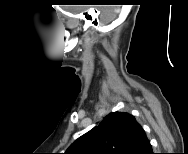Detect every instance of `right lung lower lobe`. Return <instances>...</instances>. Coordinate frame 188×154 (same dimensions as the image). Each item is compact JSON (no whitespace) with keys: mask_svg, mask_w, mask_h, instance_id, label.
<instances>
[{"mask_svg":"<svg viewBox=\"0 0 188 154\" xmlns=\"http://www.w3.org/2000/svg\"><path fill=\"white\" fill-rule=\"evenodd\" d=\"M147 154H153L152 149L149 152H147Z\"/></svg>","mask_w":188,"mask_h":154,"instance_id":"1","label":"right lung lower lobe"}]
</instances>
